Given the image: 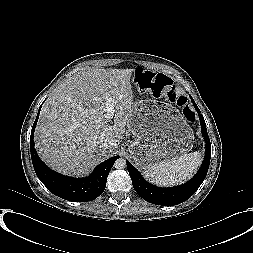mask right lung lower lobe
Segmentation results:
<instances>
[{"label":"right lung lower lobe","instance_id":"1","mask_svg":"<svg viewBox=\"0 0 253 253\" xmlns=\"http://www.w3.org/2000/svg\"><path fill=\"white\" fill-rule=\"evenodd\" d=\"M41 106L30 137L31 158L37 177L53 194L65 200L76 202L94 200L103 193L108 174L119 156H114L99 164L93 173L86 178H72L51 170L41 161L34 148V131Z\"/></svg>","mask_w":253,"mask_h":253}]
</instances>
